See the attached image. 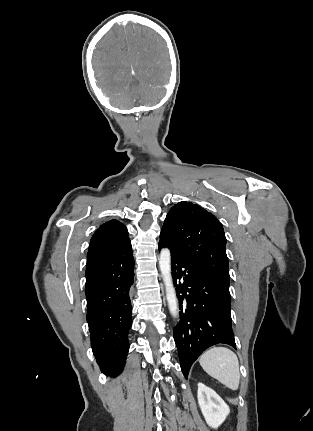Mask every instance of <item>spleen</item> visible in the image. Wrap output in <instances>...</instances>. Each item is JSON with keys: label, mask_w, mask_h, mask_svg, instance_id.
<instances>
[{"label": "spleen", "mask_w": 313, "mask_h": 431, "mask_svg": "<svg viewBox=\"0 0 313 431\" xmlns=\"http://www.w3.org/2000/svg\"><path fill=\"white\" fill-rule=\"evenodd\" d=\"M199 363L211 377L231 390L240 384L239 361L234 352L225 347H213L204 352Z\"/></svg>", "instance_id": "1"}]
</instances>
